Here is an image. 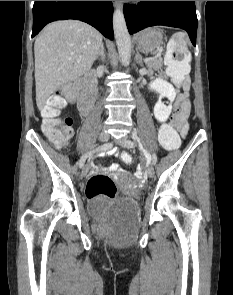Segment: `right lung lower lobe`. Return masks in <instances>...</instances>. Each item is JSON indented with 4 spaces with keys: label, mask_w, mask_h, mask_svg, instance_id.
Returning a JSON list of instances; mask_svg holds the SVG:
<instances>
[{
    "label": "right lung lower lobe",
    "mask_w": 233,
    "mask_h": 295,
    "mask_svg": "<svg viewBox=\"0 0 233 295\" xmlns=\"http://www.w3.org/2000/svg\"><path fill=\"white\" fill-rule=\"evenodd\" d=\"M112 1H35L32 37L49 22L64 19L84 21L113 39Z\"/></svg>",
    "instance_id": "right-lung-lower-lobe-1"
}]
</instances>
